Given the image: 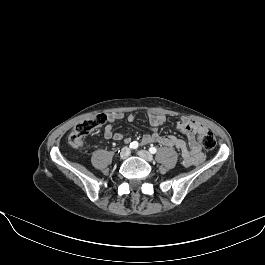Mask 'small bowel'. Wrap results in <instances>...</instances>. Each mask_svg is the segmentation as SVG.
<instances>
[{
    "instance_id": "c3829d8e",
    "label": "small bowel",
    "mask_w": 265,
    "mask_h": 265,
    "mask_svg": "<svg viewBox=\"0 0 265 265\" xmlns=\"http://www.w3.org/2000/svg\"><path fill=\"white\" fill-rule=\"evenodd\" d=\"M124 117L123 113L114 112L108 115V120L114 122ZM136 117V113L131 111L127 115L128 121H133ZM149 123L152 127V131L145 134L142 139V144L157 143L161 146L172 147L180 152L182 163L185 167L192 165H198L204 160V154L201 151V146L197 141L196 134L200 131H205L206 127L191 118L183 117L176 122V128L181 131L187 138V142L180 137L174 135H160L157 132L159 126L165 122V116L162 114L148 112ZM103 136L107 140H124L129 142L131 137L125 133H114L113 126L107 124L103 131Z\"/></svg>"
}]
</instances>
